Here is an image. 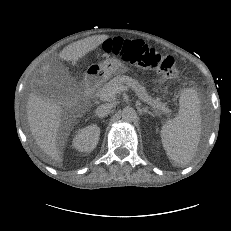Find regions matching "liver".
Listing matches in <instances>:
<instances>
[{
	"instance_id": "obj_1",
	"label": "liver",
	"mask_w": 231,
	"mask_h": 231,
	"mask_svg": "<svg viewBox=\"0 0 231 231\" xmlns=\"http://www.w3.org/2000/svg\"><path fill=\"white\" fill-rule=\"evenodd\" d=\"M108 38L109 36L107 35H94L76 41L66 46L59 53V57L74 65L79 59L95 50ZM42 69L46 76L51 71V66L47 64ZM62 105L63 102L60 100L45 99L36 92H32L27 101V119L32 136L43 153L57 163L62 162V157L57 147L58 132L64 112Z\"/></svg>"
}]
</instances>
